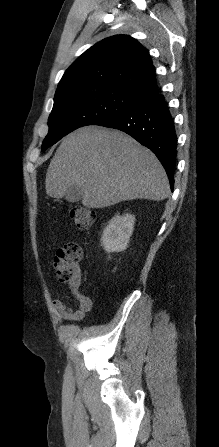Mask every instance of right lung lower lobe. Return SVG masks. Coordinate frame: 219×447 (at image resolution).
Segmentation results:
<instances>
[{
  "instance_id": "right-lung-lower-lobe-1",
  "label": "right lung lower lobe",
  "mask_w": 219,
  "mask_h": 447,
  "mask_svg": "<svg viewBox=\"0 0 219 447\" xmlns=\"http://www.w3.org/2000/svg\"><path fill=\"white\" fill-rule=\"evenodd\" d=\"M96 125L121 130L149 148L163 165L173 191L177 136L168 103L160 92Z\"/></svg>"
}]
</instances>
